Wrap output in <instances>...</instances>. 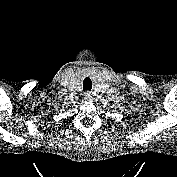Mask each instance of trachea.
Masks as SVG:
<instances>
[{"mask_svg": "<svg viewBox=\"0 0 177 177\" xmlns=\"http://www.w3.org/2000/svg\"><path fill=\"white\" fill-rule=\"evenodd\" d=\"M92 89V81L90 77H86L83 81V90L90 91Z\"/></svg>", "mask_w": 177, "mask_h": 177, "instance_id": "trachea-1", "label": "trachea"}]
</instances>
